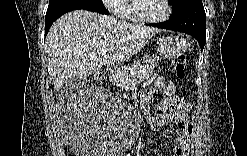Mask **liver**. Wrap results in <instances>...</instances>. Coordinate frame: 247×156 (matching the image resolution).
<instances>
[{
  "mask_svg": "<svg viewBox=\"0 0 247 156\" xmlns=\"http://www.w3.org/2000/svg\"><path fill=\"white\" fill-rule=\"evenodd\" d=\"M158 31L85 10L63 15L46 38V52L56 75L54 90L60 91L72 76L85 78L102 65L129 59Z\"/></svg>",
  "mask_w": 247,
  "mask_h": 156,
  "instance_id": "liver-1",
  "label": "liver"
}]
</instances>
